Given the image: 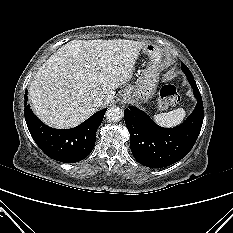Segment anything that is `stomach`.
<instances>
[{
  "label": "stomach",
  "mask_w": 233,
  "mask_h": 233,
  "mask_svg": "<svg viewBox=\"0 0 233 233\" xmlns=\"http://www.w3.org/2000/svg\"><path fill=\"white\" fill-rule=\"evenodd\" d=\"M143 52L150 58V63L136 84L128 87L123 92V99L133 102H146L154 94L159 77V68L162 58L161 50L154 44H146Z\"/></svg>",
  "instance_id": "1"
}]
</instances>
